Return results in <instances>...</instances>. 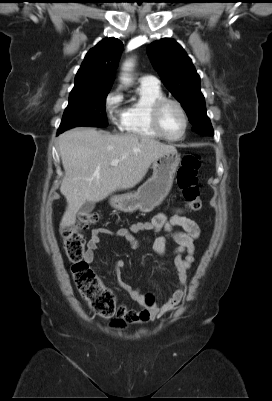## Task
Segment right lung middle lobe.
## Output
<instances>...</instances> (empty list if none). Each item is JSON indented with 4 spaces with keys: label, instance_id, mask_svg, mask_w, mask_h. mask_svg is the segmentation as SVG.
Here are the masks:
<instances>
[{
    "label": "right lung middle lobe",
    "instance_id": "dd1d6c3e",
    "mask_svg": "<svg viewBox=\"0 0 272 401\" xmlns=\"http://www.w3.org/2000/svg\"><path fill=\"white\" fill-rule=\"evenodd\" d=\"M109 91L98 89L69 96L57 134L77 126H107L105 103Z\"/></svg>",
    "mask_w": 272,
    "mask_h": 401
}]
</instances>
